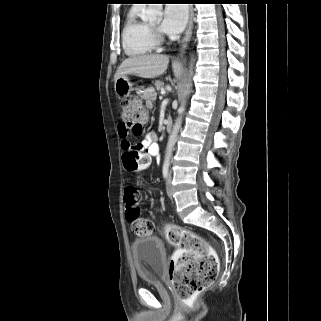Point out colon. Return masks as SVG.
<instances>
[{"label": "colon", "mask_w": 321, "mask_h": 321, "mask_svg": "<svg viewBox=\"0 0 321 321\" xmlns=\"http://www.w3.org/2000/svg\"><path fill=\"white\" fill-rule=\"evenodd\" d=\"M122 122L135 135H141L148 119V111L136 97L125 98L121 102ZM150 159L144 153L133 150L124 156V166L128 171L146 169ZM125 216L132 231L138 236L152 234V221L140 218V193L134 186L124 191ZM167 241L178 249L169 267L170 280L177 297L186 302L208 287L217 277L218 258L213 248L200 236L178 225L164 227Z\"/></svg>", "instance_id": "obj_1"}]
</instances>
